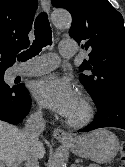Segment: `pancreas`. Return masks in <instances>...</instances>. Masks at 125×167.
I'll return each mask as SVG.
<instances>
[{"label": "pancreas", "mask_w": 125, "mask_h": 167, "mask_svg": "<svg viewBox=\"0 0 125 167\" xmlns=\"http://www.w3.org/2000/svg\"><path fill=\"white\" fill-rule=\"evenodd\" d=\"M90 167H100L99 165L93 164Z\"/></svg>", "instance_id": "obj_1"}]
</instances>
